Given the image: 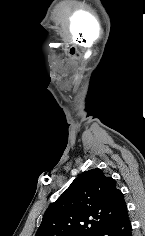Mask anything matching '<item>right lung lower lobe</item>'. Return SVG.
I'll return each instance as SVG.
<instances>
[{
	"label": "right lung lower lobe",
	"mask_w": 145,
	"mask_h": 236,
	"mask_svg": "<svg viewBox=\"0 0 145 236\" xmlns=\"http://www.w3.org/2000/svg\"><path fill=\"white\" fill-rule=\"evenodd\" d=\"M132 227L127 207L99 229L94 236H132Z\"/></svg>",
	"instance_id": "1"
}]
</instances>
